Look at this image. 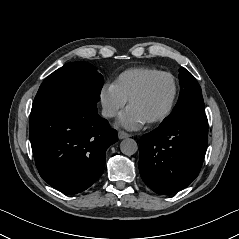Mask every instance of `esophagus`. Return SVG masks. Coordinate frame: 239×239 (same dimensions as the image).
Returning a JSON list of instances; mask_svg holds the SVG:
<instances>
[{"label":"esophagus","instance_id":"esophagus-1","mask_svg":"<svg viewBox=\"0 0 239 239\" xmlns=\"http://www.w3.org/2000/svg\"><path fill=\"white\" fill-rule=\"evenodd\" d=\"M128 137H130V135H129L128 133H126V132H124V131H122V130H120V131L118 132V138H119V139H124V138H128Z\"/></svg>","mask_w":239,"mask_h":239}]
</instances>
